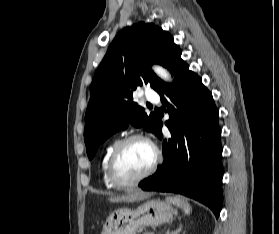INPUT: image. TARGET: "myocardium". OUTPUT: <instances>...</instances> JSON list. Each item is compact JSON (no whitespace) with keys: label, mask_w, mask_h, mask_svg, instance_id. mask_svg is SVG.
<instances>
[{"label":"myocardium","mask_w":279,"mask_h":234,"mask_svg":"<svg viewBox=\"0 0 279 234\" xmlns=\"http://www.w3.org/2000/svg\"><path fill=\"white\" fill-rule=\"evenodd\" d=\"M136 140L146 142L153 148L154 160H153L152 164L150 165V167L137 178L132 179V180H120L117 177L116 170H115L117 158H118L121 150L128 143H130L132 141H136ZM161 159H162V156H161L159 149L148 138H146L145 136L140 135V134L129 135V136L123 138L122 140H120L118 143H116V145L114 146V148L109 156L108 164H107L108 179L117 188H128V187L138 185L139 183H141L142 181H144L145 179L150 177L155 172V170L157 169L158 165L161 162Z\"/></svg>","instance_id":"1"}]
</instances>
